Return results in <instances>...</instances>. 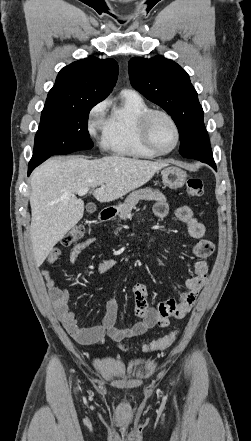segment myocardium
Here are the masks:
<instances>
[{
	"label": "myocardium",
	"instance_id": "myocardium-1",
	"mask_svg": "<svg viewBox=\"0 0 251 441\" xmlns=\"http://www.w3.org/2000/svg\"><path fill=\"white\" fill-rule=\"evenodd\" d=\"M163 116L165 117L170 124L172 125L174 132H175V144L173 145L172 148H170L169 150L163 151L160 150L159 148H157L152 139H151V123L154 119L155 116ZM139 130H140V136L141 139L144 143V145L153 153H155L156 155H167L171 152H173L179 145L180 143V139H181V134H180V129L178 127L177 122L175 121L174 117L167 111L164 110H159V109H151L148 112H146L140 119V123H139Z\"/></svg>",
	"mask_w": 251,
	"mask_h": 441
}]
</instances>
